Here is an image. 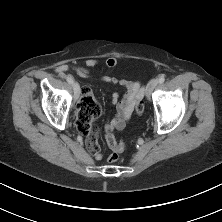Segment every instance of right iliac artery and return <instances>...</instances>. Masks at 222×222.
Masks as SVG:
<instances>
[{"label": "right iliac artery", "mask_w": 222, "mask_h": 222, "mask_svg": "<svg viewBox=\"0 0 222 222\" xmlns=\"http://www.w3.org/2000/svg\"><path fill=\"white\" fill-rule=\"evenodd\" d=\"M66 80L69 84H73V82H74L73 78L71 76H67Z\"/></svg>", "instance_id": "82829eb1"}]
</instances>
